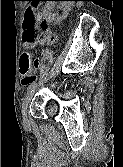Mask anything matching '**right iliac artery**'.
Returning <instances> with one entry per match:
<instances>
[{"label": "right iliac artery", "instance_id": "82829eb1", "mask_svg": "<svg viewBox=\"0 0 123 167\" xmlns=\"http://www.w3.org/2000/svg\"><path fill=\"white\" fill-rule=\"evenodd\" d=\"M35 85H36L35 83L30 84L28 87V92H32L35 88Z\"/></svg>", "mask_w": 123, "mask_h": 167}]
</instances>
